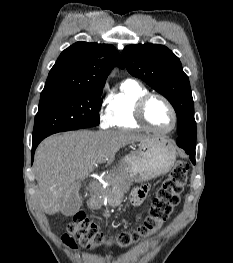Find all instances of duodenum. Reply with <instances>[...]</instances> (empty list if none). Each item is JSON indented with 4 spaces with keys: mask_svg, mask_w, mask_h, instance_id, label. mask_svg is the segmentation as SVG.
<instances>
[{
    "mask_svg": "<svg viewBox=\"0 0 233 263\" xmlns=\"http://www.w3.org/2000/svg\"><path fill=\"white\" fill-rule=\"evenodd\" d=\"M88 204H89V207L91 209H96V208H98L100 206V204H99V202H98V200H97V198L95 196H91L89 198Z\"/></svg>",
    "mask_w": 233,
    "mask_h": 263,
    "instance_id": "1",
    "label": "duodenum"
}]
</instances>
